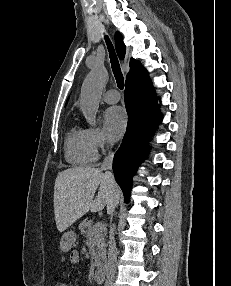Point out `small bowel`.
I'll use <instances>...</instances> for the list:
<instances>
[{
  "label": "small bowel",
  "mask_w": 231,
  "mask_h": 286,
  "mask_svg": "<svg viewBox=\"0 0 231 286\" xmlns=\"http://www.w3.org/2000/svg\"><path fill=\"white\" fill-rule=\"evenodd\" d=\"M80 260V255L77 251H73L70 254V261L72 264H77Z\"/></svg>",
  "instance_id": "c3829d8e"
}]
</instances>
